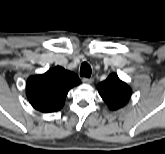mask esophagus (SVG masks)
<instances>
[{
    "mask_svg": "<svg viewBox=\"0 0 165 154\" xmlns=\"http://www.w3.org/2000/svg\"><path fill=\"white\" fill-rule=\"evenodd\" d=\"M82 81L85 83V84H91L93 82V79L92 78H87V77H84L82 79Z\"/></svg>",
    "mask_w": 165,
    "mask_h": 154,
    "instance_id": "esophagus-1",
    "label": "esophagus"
}]
</instances>
